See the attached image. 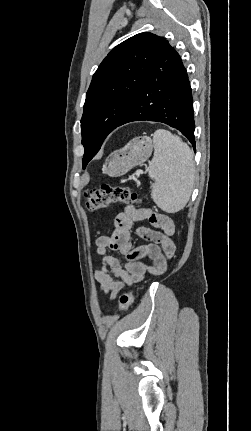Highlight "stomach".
<instances>
[{
    "mask_svg": "<svg viewBox=\"0 0 251 431\" xmlns=\"http://www.w3.org/2000/svg\"><path fill=\"white\" fill-rule=\"evenodd\" d=\"M152 142L148 137H137L123 149L109 155L103 166V173L111 177L126 174L133 167L144 163L152 153Z\"/></svg>",
    "mask_w": 251,
    "mask_h": 431,
    "instance_id": "obj_1",
    "label": "stomach"
}]
</instances>
